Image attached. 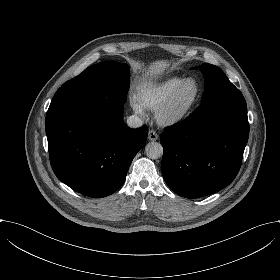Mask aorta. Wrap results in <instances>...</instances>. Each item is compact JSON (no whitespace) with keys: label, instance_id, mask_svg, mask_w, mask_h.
Segmentation results:
<instances>
[{"label":"aorta","instance_id":"762f6f07","mask_svg":"<svg viewBox=\"0 0 280 280\" xmlns=\"http://www.w3.org/2000/svg\"><path fill=\"white\" fill-rule=\"evenodd\" d=\"M145 153L151 159H157L163 154V147L159 142H149L146 146Z\"/></svg>","mask_w":280,"mask_h":280}]
</instances>
